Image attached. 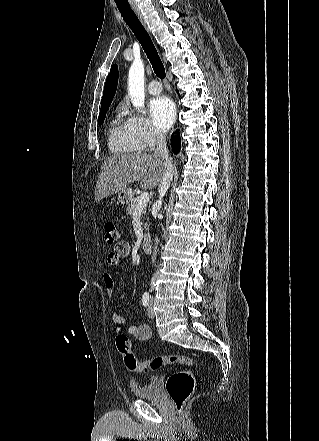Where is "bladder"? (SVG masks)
I'll use <instances>...</instances> for the list:
<instances>
[{"label":"bladder","instance_id":"bladder-1","mask_svg":"<svg viewBox=\"0 0 319 441\" xmlns=\"http://www.w3.org/2000/svg\"><path fill=\"white\" fill-rule=\"evenodd\" d=\"M130 387L133 394L137 398L147 399L154 398L159 392V381L157 376H152L144 384H139L135 381L130 382Z\"/></svg>","mask_w":319,"mask_h":441}]
</instances>
